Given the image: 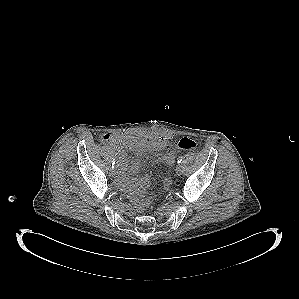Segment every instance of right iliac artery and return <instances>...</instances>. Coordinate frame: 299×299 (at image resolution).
<instances>
[{
  "mask_svg": "<svg viewBox=\"0 0 299 299\" xmlns=\"http://www.w3.org/2000/svg\"><path fill=\"white\" fill-rule=\"evenodd\" d=\"M114 166H115V162L112 163V168H114Z\"/></svg>",
  "mask_w": 299,
  "mask_h": 299,
  "instance_id": "82829eb1",
  "label": "right iliac artery"
}]
</instances>
